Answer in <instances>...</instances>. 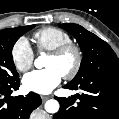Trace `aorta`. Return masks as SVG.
Listing matches in <instances>:
<instances>
[{
    "mask_svg": "<svg viewBox=\"0 0 119 119\" xmlns=\"http://www.w3.org/2000/svg\"><path fill=\"white\" fill-rule=\"evenodd\" d=\"M44 54H42L41 56H39L34 64L37 68H42L43 67V59H44ZM45 110L48 112V113H56L58 112L59 110V103L57 100L55 99H50L48 101H46L45 103Z\"/></svg>",
    "mask_w": 119,
    "mask_h": 119,
    "instance_id": "obj_1",
    "label": "aorta"
}]
</instances>
